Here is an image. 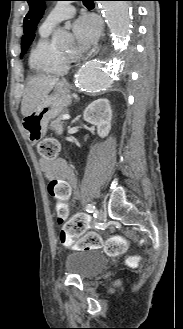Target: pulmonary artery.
<instances>
[{
  "instance_id": "obj_1",
  "label": "pulmonary artery",
  "mask_w": 183,
  "mask_h": 329,
  "mask_svg": "<svg viewBox=\"0 0 183 329\" xmlns=\"http://www.w3.org/2000/svg\"><path fill=\"white\" fill-rule=\"evenodd\" d=\"M75 11V7L70 5L69 2L57 3L43 20L40 31L51 32L57 24L71 18L75 14Z\"/></svg>"
}]
</instances>
